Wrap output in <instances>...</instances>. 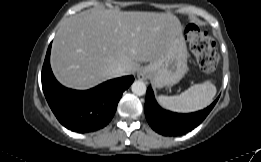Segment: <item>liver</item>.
I'll use <instances>...</instances> for the list:
<instances>
[{"label":"liver","mask_w":261,"mask_h":162,"mask_svg":"<svg viewBox=\"0 0 261 162\" xmlns=\"http://www.w3.org/2000/svg\"><path fill=\"white\" fill-rule=\"evenodd\" d=\"M179 20L171 13L92 9L68 18L52 44L51 68L66 87L84 90L114 78L121 65L134 73L166 51Z\"/></svg>","instance_id":"liver-1"}]
</instances>
